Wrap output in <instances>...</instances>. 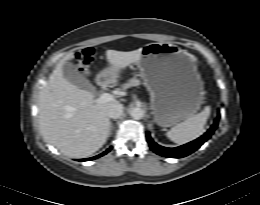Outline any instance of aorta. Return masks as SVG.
I'll use <instances>...</instances> for the list:
<instances>
[{
  "mask_svg": "<svg viewBox=\"0 0 260 205\" xmlns=\"http://www.w3.org/2000/svg\"><path fill=\"white\" fill-rule=\"evenodd\" d=\"M130 116L135 120H140L144 116V110L140 107H134L129 111Z\"/></svg>",
  "mask_w": 260,
  "mask_h": 205,
  "instance_id": "aorta-1",
  "label": "aorta"
}]
</instances>
